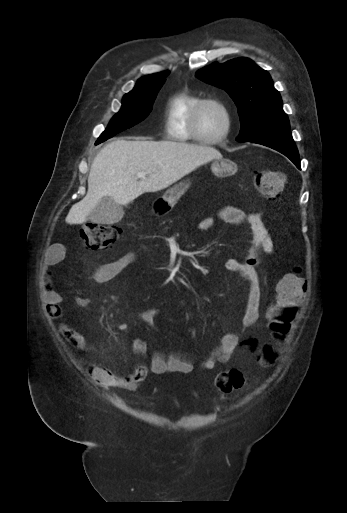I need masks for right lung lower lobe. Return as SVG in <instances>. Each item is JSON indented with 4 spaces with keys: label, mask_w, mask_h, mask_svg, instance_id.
Segmentation results:
<instances>
[{
    "label": "right lung lower lobe",
    "mask_w": 347,
    "mask_h": 513,
    "mask_svg": "<svg viewBox=\"0 0 347 513\" xmlns=\"http://www.w3.org/2000/svg\"><path fill=\"white\" fill-rule=\"evenodd\" d=\"M99 143H100V141H97V142H96V145H97V144H99Z\"/></svg>",
    "instance_id": "right-lung-lower-lobe-1"
}]
</instances>
